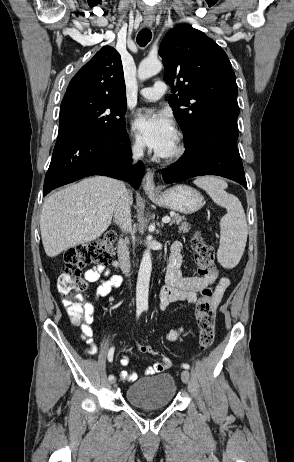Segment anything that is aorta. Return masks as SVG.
Returning a JSON list of instances; mask_svg holds the SVG:
<instances>
[{
    "label": "aorta",
    "mask_w": 294,
    "mask_h": 462,
    "mask_svg": "<svg viewBox=\"0 0 294 462\" xmlns=\"http://www.w3.org/2000/svg\"><path fill=\"white\" fill-rule=\"evenodd\" d=\"M162 69V63L154 58L144 59L138 67V78L140 80H146L157 73ZM152 271V260L151 252L149 249H146L143 253V257L140 263L137 285H136V306L137 308H147L148 307V293H149V283L150 276Z\"/></svg>",
    "instance_id": "aorta-1"
}]
</instances>
